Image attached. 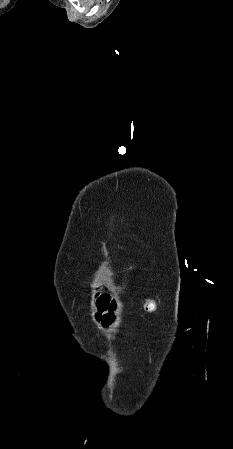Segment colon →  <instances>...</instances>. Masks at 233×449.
<instances>
[{
    "mask_svg": "<svg viewBox=\"0 0 233 449\" xmlns=\"http://www.w3.org/2000/svg\"><path fill=\"white\" fill-rule=\"evenodd\" d=\"M121 304V299L119 297H110L106 293L102 292L99 294L97 299V310L95 313L96 318L100 321V326H110V321H104V319H114V321H119V316L116 315L118 306ZM104 309V310H102Z\"/></svg>",
    "mask_w": 233,
    "mask_h": 449,
    "instance_id": "obj_1",
    "label": "colon"
}]
</instances>
